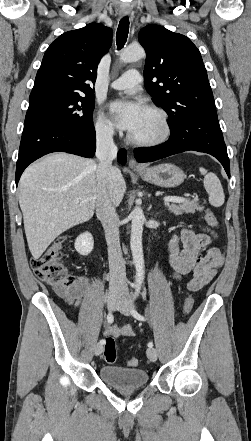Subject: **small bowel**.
<instances>
[{
    "mask_svg": "<svg viewBox=\"0 0 251 441\" xmlns=\"http://www.w3.org/2000/svg\"><path fill=\"white\" fill-rule=\"evenodd\" d=\"M216 235L209 229L197 231L184 228L178 235L174 232L168 243L169 265L172 277L180 280L183 276L192 273L186 284L190 291H198L208 284L222 265L223 254L213 246ZM180 243L182 247H180ZM89 288V281L80 278L79 283L67 291L56 290L72 307H78ZM107 337H129L134 335L130 325H114L105 330Z\"/></svg>",
    "mask_w": 251,
    "mask_h": 441,
    "instance_id": "obj_1",
    "label": "small bowel"
}]
</instances>
